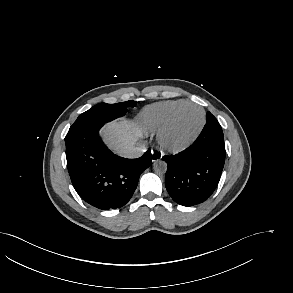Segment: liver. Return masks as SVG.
Here are the masks:
<instances>
[{
	"label": "liver",
	"instance_id": "liver-1",
	"mask_svg": "<svg viewBox=\"0 0 293 293\" xmlns=\"http://www.w3.org/2000/svg\"><path fill=\"white\" fill-rule=\"evenodd\" d=\"M102 136L113 151L122 155L124 149L135 145L143 137V129L137 123L116 120L105 125Z\"/></svg>",
	"mask_w": 293,
	"mask_h": 293
}]
</instances>
